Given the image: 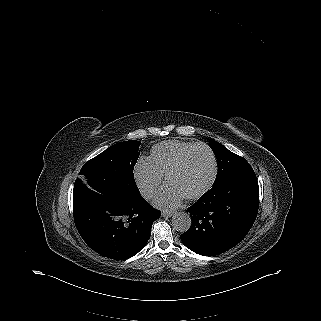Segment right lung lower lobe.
Wrapping results in <instances>:
<instances>
[{"instance_id":"right-lung-lower-lobe-1","label":"right lung lower lobe","mask_w":321,"mask_h":321,"mask_svg":"<svg viewBox=\"0 0 321 321\" xmlns=\"http://www.w3.org/2000/svg\"><path fill=\"white\" fill-rule=\"evenodd\" d=\"M76 228L87 245L110 259L136 255L147 244L161 215L140 195L129 199H91L73 204Z\"/></svg>"}]
</instances>
